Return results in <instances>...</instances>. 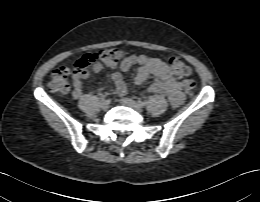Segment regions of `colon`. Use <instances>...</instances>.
I'll use <instances>...</instances> for the list:
<instances>
[{"instance_id": "colon-1", "label": "colon", "mask_w": 260, "mask_h": 202, "mask_svg": "<svg viewBox=\"0 0 260 202\" xmlns=\"http://www.w3.org/2000/svg\"><path fill=\"white\" fill-rule=\"evenodd\" d=\"M121 57V51L116 48L102 49L96 53L82 56L72 67L61 66L57 68L48 84V88L53 92L67 93L70 90L69 77L77 73L87 71L88 68L102 63L106 67H113ZM171 71L178 77H187L191 74V68L180 58L170 57L168 60ZM183 86L188 95L193 96L196 88L195 80L186 78Z\"/></svg>"}]
</instances>
